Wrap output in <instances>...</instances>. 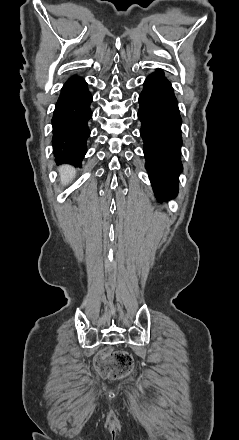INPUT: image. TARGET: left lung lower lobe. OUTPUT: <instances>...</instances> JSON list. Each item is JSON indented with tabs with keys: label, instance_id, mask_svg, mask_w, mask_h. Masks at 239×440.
I'll return each mask as SVG.
<instances>
[{
	"label": "left lung lower lobe",
	"instance_id": "left-lung-lower-lobe-1",
	"mask_svg": "<svg viewBox=\"0 0 239 440\" xmlns=\"http://www.w3.org/2000/svg\"><path fill=\"white\" fill-rule=\"evenodd\" d=\"M139 104L140 134L154 192L158 200L175 198L182 171V120L173 88L160 69L146 78Z\"/></svg>",
	"mask_w": 239,
	"mask_h": 440
}]
</instances>
